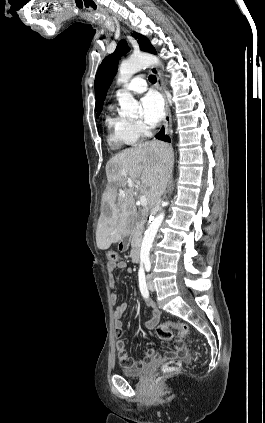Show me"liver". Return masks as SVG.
I'll use <instances>...</instances> for the list:
<instances>
[{"mask_svg":"<svg viewBox=\"0 0 265 423\" xmlns=\"http://www.w3.org/2000/svg\"><path fill=\"white\" fill-rule=\"evenodd\" d=\"M173 162L171 147L161 141H150L115 154L106 165L110 185L102 198L109 209L97 224L96 243L101 250L121 240L127 231L126 208H133L134 194L146 196L154 207L165 191ZM134 186L127 188L128 182ZM114 185V186H113ZM112 186V187H111ZM123 188L117 192V188Z\"/></svg>","mask_w":265,"mask_h":423,"instance_id":"obj_1","label":"liver"}]
</instances>
